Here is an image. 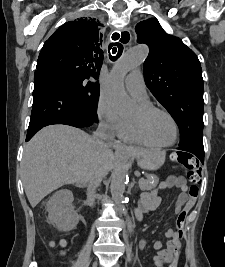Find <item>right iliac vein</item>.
Segmentation results:
<instances>
[{
    "label": "right iliac vein",
    "mask_w": 225,
    "mask_h": 267,
    "mask_svg": "<svg viewBox=\"0 0 225 267\" xmlns=\"http://www.w3.org/2000/svg\"><path fill=\"white\" fill-rule=\"evenodd\" d=\"M92 267H98V261L97 260L93 263Z\"/></svg>",
    "instance_id": "63e3f726"
}]
</instances>
